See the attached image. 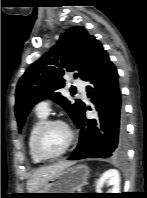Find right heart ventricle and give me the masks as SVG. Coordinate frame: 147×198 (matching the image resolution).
Returning <instances> with one entry per match:
<instances>
[{
	"instance_id": "obj_1",
	"label": "right heart ventricle",
	"mask_w": 147,
	"mask_h": 198,
	"mask_svg": "<svg viewBox=\"0 0 147 198\" xmlns=\"http://www.w3.org/2000/svg\"><path fill=\"white\" fill-rule=\"evenodd\" d=\"M46 121V116L37 114L35 120L31 124L28 135H27V147L28 153L33 163L39 164L42 163L44 160L41 159L35 152L33 147V140L37 130L40 126Z\"/></svg>"
}]
</instances>
